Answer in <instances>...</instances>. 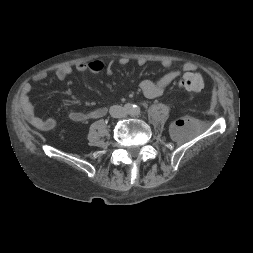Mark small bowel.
Masks as SVG:
<instances>
[{
	"instance_id": "obj_1",
	"label": "small bowel",
	"mask_w": 253,
	"mask_h": 253,
	"mask_svg": "<svg viewBox=\"0 0 253 253\" xmlns=\"http://www.w3.org/2000/svg\"><path fill=\"white\" fill-rule=\"evenodd\" d=\"M130 59L128 57H121L118 59V64L120 65H127L129 64ZM90 62L81 61L75 64L74 67L70 65H65L62 67H59L55 71V77L59 81L65 80L75 69L78 72H85L87 70H90L92 72H95L90 69L89 66ZM147 63V60L145 58H138L137 64L139 66H143ZM161 65L164 68H170L172 66V61L169 59H164L161 61ZM196 67L192 63H185L183 65L182 71L180 70H171L165 73L163 76H161L156 81L151 80H143L140 83V90L146 96L147 98H156L161 96L165 89L174 81H176L178 78L181 77L182 72H188L195 70ZM106 72L108 74L112 73V67L107 66ZM46 78L45 73H39L34 77V81H42ZM32 87L30 84H25L22 87L21 94H20V106L23 111L24 117L26 121L35 127L36 129H39L41 131H50L52 130L55 125L56 121L52 117H41L37 114L34 105L32 104L30 100V93H31ZM107 113V109L105 107H98L91 111H80V110H72L69 113V118L78 123L87 122L91 119H99L105 116Z\"/></svg>"
}]
</instances>
